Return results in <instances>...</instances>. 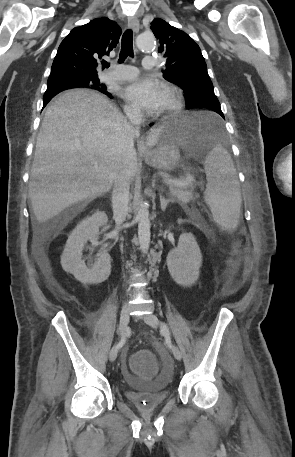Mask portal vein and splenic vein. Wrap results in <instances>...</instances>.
<instances>
[{
	"label": "portal vein and splenic vein",
	"instance_id": "18ae733b",
	"mask_svg": "<svg viewBox=\"0 0 295 457\" xmlns=\"http://www.w3.org/2000/svg\"><path fill=\"white\" fill-rule=\"evenodd\" d=\"M92 164L97 167L98 163L97 162H92ZM194 175L192 173H188L185 177L181 179H171V178H166L164 179V183L168 186H187L194 182Z\"/></svg>",
	"mask_w": 295,
	"mask_h": 457
}]
</instances>
